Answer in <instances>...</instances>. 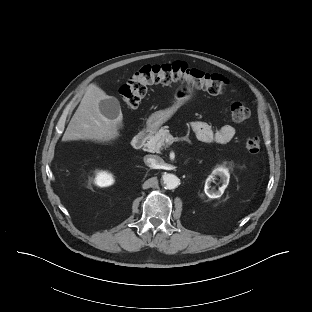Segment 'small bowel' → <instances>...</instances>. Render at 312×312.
<instances>
[{
	"mask_svg": "<svg viewBox=\"0 0 312 312\" xmlns=\"http://www.w3.org/2000/svg\"><path fill=\"white\" fill-rule=\"evenodd\" d=\"M190 129L203 142L226 144L230 142L236 134L232 125L226 124L217 130H213L207 123L194 121L190 124Z\"/></svg>",
	"mask_w": 312,
	"mask_h": 312,
	"instance_id": "obj_1",
	"label": "small bowel"
}]
</instances>
